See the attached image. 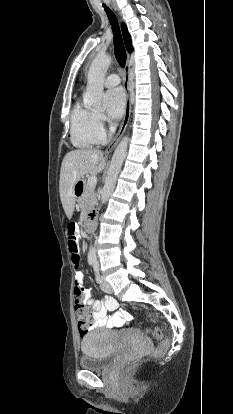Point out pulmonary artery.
<instances>
[{
	"label": "pulmonary artery",
	"mask_w": 233,
	"mask_h": 414,
	"mask_svg": "<svg viewBox=\"0 0 233 414\" xmlns=\"http://www.w3.org/2000/svg\"><path fill=\"white\" fill-rule=\"evenodd\" d=\"M120 83V78L117 74H111L106 77L104 80V85L106 87H114Z\"/></svg>",
	"instance_id": "1"
}]
</instances>
